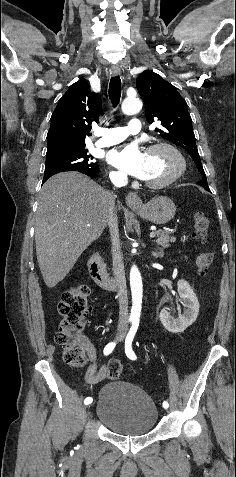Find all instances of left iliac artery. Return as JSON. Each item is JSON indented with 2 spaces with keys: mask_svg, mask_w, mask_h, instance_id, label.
Masks as SVG:
<instances>
[{
  "mask_svg": "<svg viewBox=\"0 0 236 477\" xmlns=\"http://www.w3.org/2000/svg\"><path fill=\"white\" fill-rule=\"evenodd\" d=\"M138 326H139V322H133L132 326L130 328V331L128 332V334L126 336V339H125V353H126L127 357L131 360H136L137 359L134 351L132 350V341H133L135 333L138 329ZM163 407H167V408L169 407V404H168L167 401L163 402Z\"/></svg>",
  "mask_w": 236,
  "mask_h": 477,
  "instance_id": "left-iliac-artery-1",
  "label": "left iliac artery"
}]
</instances>
